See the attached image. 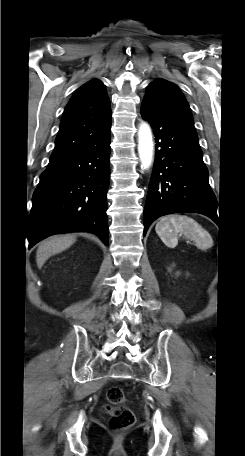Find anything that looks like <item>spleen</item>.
<instances>
[{"mask_svg": "<svg viewBox=\"0 0 245 456\" xmlns=\"http://www.w3.org/2000/svg\"><path fill=\"white\" fill-rule=\"evenodd\" d=\"M156 233L168 247L178 244V235L193 240L201 249L211 247L213 241L210 234L194 219L186 215H169L162 217L155 227Z\"/></svg>", "mask_w": 245, "mask_h": 456, "instance_id": "obj_1", "label": "spleen"}]
</instances>
